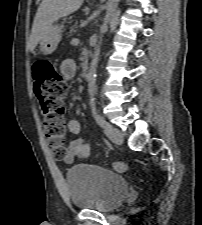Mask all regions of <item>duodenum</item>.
I'll return each instance as SVG.
<instances>
[{
	"instance_id": "duodenum-1",
	"label": "duodenum",
	"mask_w": 202,
	"mask_h": 225,
	"mask_svg": "<svg viewBox=\"0 0 202 225\" xmlns=\"http://www.w3.org/2000/svg\"><path fill=\"white\" fill-rule=\"evenodd\" d=\"M88 69H89V58L87 54H83L82 55V71L84 75L87 74Z\"/></svg>"
}]
</instances>
